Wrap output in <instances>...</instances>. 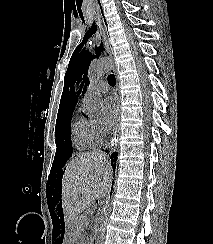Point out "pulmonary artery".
<instances>
[{"mask_svg":"<svg viewBox=\"0 0 213 244\" xmlns=\"http://www.w3.org/2000/svg\"><path fill=\"white\" fill-rule=\"evenodd\" d=\"M97 89L100 91V92H107L108 91V88H109V85L108 83L104 82V81H100L97 83Z\"/></svg>","mask_w":213,"mask_h":244,"instance_id":"obj_1","label":"pulmonary artery"}]
</instances>
